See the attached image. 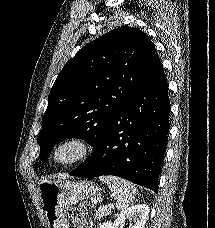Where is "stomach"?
I'll list each match as a JSON object with an SVG mask.
<instances>
[{"mask_svg": "<svg viewBox=\"0 0 215 228\" xmlns=\"http://www.w3.org/2000/svg\"><path fill=\"white\" fill-rule=\"evenodd\" d=\"M38 190L48 228H69L68 206L93 198L98 192L88 180H44Z\"/></svg>", "mask_w": 215, "mask_h": 228, "instance_id": "stomach-1", "label": "stomach"}]
</instances>
